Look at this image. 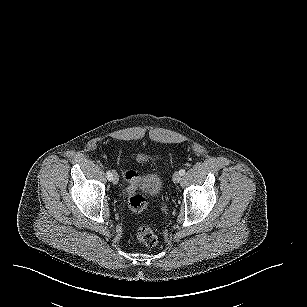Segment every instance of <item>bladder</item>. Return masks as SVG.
I'll return each mask as SVG.
<instances>
[{"mask_svg": "<svg viewBox=\"0 0 307 307\" xmlns=\"http://www.w3.org/2000/svg\"><path fill=\"white\" fill-rule=\"evenodd\" d=\"M139 185L150 198L157 197L162 189L161 179L155 174L142 175Z\"/></svg>", "mask_w": 307, "mask_h": 307, "instance_id": "31cf9c89", "label": "bladder"}]
</instances>
